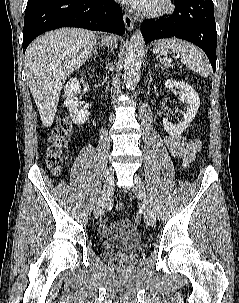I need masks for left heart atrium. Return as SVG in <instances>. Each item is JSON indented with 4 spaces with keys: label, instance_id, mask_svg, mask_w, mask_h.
<instances>
[{
    "label": "left heart atrium",
    "instance_id": "39dd6f15",
    "mask_svg": "<svg viewBox=\"0 0 239 303\" xmlns=\"http://www.w3.org/2000/svg\"><path fill=\"white\" fill-rule=\"evenodd\" d=\"M121 1L130 4L136 9L145 10L151 5L153 0H121Z\"/></svg>",
    "mask_w": 239,
    "mask_h": 303
}]
</instances>
